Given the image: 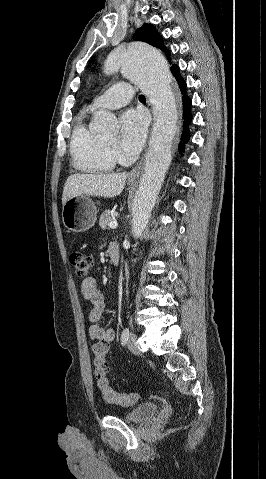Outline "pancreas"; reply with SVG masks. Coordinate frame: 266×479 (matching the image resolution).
Returning <instances> with one entry per match:
<instances>
[{"label":"pancreas","mask_w":266,"mask_h":479,"mask_svg":"<svg viewBox=\"0 0 266 479\" xmlns=\"http://www.w3.org/2000/svg\"><path fill=\"white\" fill-rule=\"evenodd\" d=\"M113 220L112 212L110 210H106L100 216L99 225L101 228L105 229Z\"/></svg>","instance_id":"pancreas-1"}]
</instances>
